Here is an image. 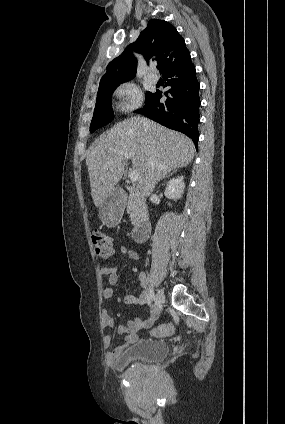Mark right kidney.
I'll return each instance as SVG.
<instances>
[{
	"label": "right kidney",
	"instance_id": "ca27d5eb",
	"mask_svg": "<svg viewBox=\"0 0 285 424\" xmlns=\"http://www.w3.org/2000/svg\"><path fill=\"white\" fill-rule=\"evenodd\" d=\"M184 177L180 176L177 178H172L168 181L164 194L168 199L177 200L182 197L185 184L183 181Z\"/></svg>",
	"mask_w": 285,
	"mask_h": 424
}]
</instances>
